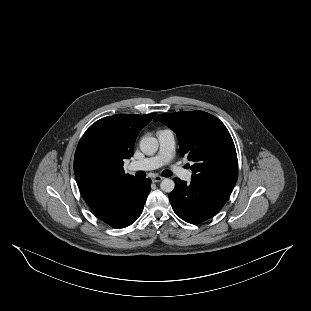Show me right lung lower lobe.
Returning <instances> with one entry per match:
<instances>
[{
  "label": "right lung lower lobe",
  "mask_w": 311,
  "mask_h": 311,
  "mask_svg": "<svg viewBox=\"0 0 311 311\" xmlns=\"http://www.w3.org/2000/svg\"><path fill=\"white\" fill-rule=\"evenodd\" d=\"M151 190L149 178L131 182L116 195L92 209L95 215L113 228H125L135 222L143 211Z\"/></svg>",
  "instance_id": "obj_1"
}]
</instances>
